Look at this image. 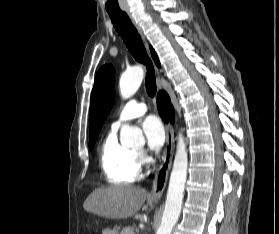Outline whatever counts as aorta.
Wrapping results in <instances>:
<instances>
[{
  "label": "aorta",
  "instance_id": "1",
  "mask_svg": "<svg viewBox=\"0 0 279 234\" xmlns=\"http://www.w3.org/2000/svg\"><path fill=\"white\" fill-rule=\"evenodd\" d=\"M144 76L143 68L135 66L126 70L120 77L119 88L122 98L127 99L136 93ZM144 140L140 129L123 125L120 132V142L125 147H131ZM188 168L186 144L181 134L177 141L176 154L170 175L169 187L166 196L165 209L161 225L156 234H171L178 221L185 188Z\"/></svg>",
  "mask_w": 279,
  "mask_h": 234
}]
</instances>
